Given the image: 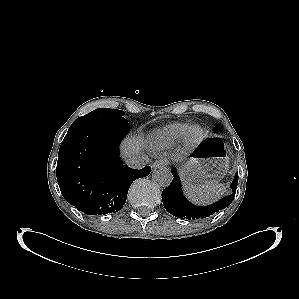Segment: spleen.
Segmentation results:
<instances>
[{
    "instance_id": "1",
    "label": "spleen",
    "mask_w": 299,
    "mask_h": 299,
    "mask_svg": "<svg viewBox=\"0 0 299 299\" xmlns=\"http://www.w3.org/2000/svg\"><path fill=\"white\" fill-rule=\"evenodd\" d=\"M184 191L191 202L199 205H207L217 201L226 192V188L223 184L218 183V181L211 180L198 186L185 185Z\"/></svg>"
}]
</instances>
